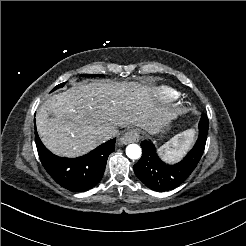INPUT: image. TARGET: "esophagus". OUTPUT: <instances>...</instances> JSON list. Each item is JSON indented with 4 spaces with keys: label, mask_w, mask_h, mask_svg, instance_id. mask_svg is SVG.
Returning <instances> with one entry per match:
<instances>
[{
    "label": "esophagus",
    "mask_w": 246,
    "mask_h": 246,
    "mask_svg": "<svg viewBox=\"0 0 246 246\" xmlns=\"http://www.w3.org/2000/svg\"><path fill=\"white\" fill-rule=\"evenodd\" d=\"M140 140L139 132L132 128L128 130L121 138H119L118 145L121 146L123 144L138 142Z\"/></svg>",
    "instance_id": "esophagus-1"
}]
</instances>
